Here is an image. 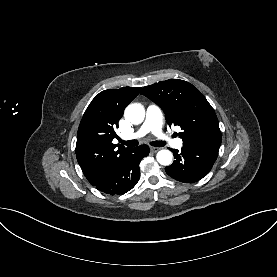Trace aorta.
<instances>
[{
	"label": "aorta",
	"mask_w": 277,
	"mask_h": 277,
	"mask_svg": "<svg viewBox=\"0 0 277 277\" xmlns=\"http://www.w3.org/2000/svg\"><path fill=\"white\" fill-rule=\"evenodd\" d=\"M124 116L132 124H140L145 117L144 107L138 103L130 104L126 107ZM156 157L161 165L168 166L172 163L173 155L169 150H160Z\"/></svg>",
	"instance_id": "1"
}]
</instances>
